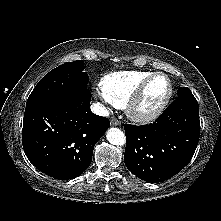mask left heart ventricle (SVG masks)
<instances>
[{
    "label": "left heart ventricle",
    "instance_id": "b2bd125f",
    "mask_svg": "<svg viewBox=\"0 0 221 221\" xmlns=\"http://www.w3.org/2000/svg\"><path fill=\"white\" fill-rule=\"evenodd\" d=\"M169 90L166 78L156 77L147 87L144 97L139 105V110L148 112L155 109L165 98Z\"/></svg>",
    "mask_w": 221,
    "mask_h": 221
}]
</instances>
